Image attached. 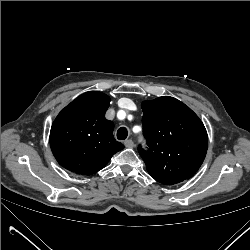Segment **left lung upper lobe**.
<instances>
[{"label": "left lung upper lobe", "mask_w": 250, "mask_h": 250, "mask_svg": "<svg viewBox=\"0 0 250 250\" xmlns=\"http://www.w3.org/2000/svg\"><path fill=\"white\" fill-rule=\"evenodd\" d=\"M143 134L139 146L147 171L157 181L175 183L191 178L204 161L208 136L199 117L181 101L162 96L142 103Z\"/></svg>", "instance_id": "1"}]
</instances>
